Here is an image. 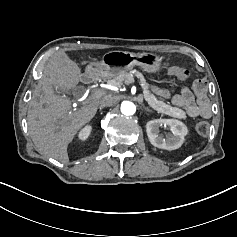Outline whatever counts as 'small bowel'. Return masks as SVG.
Instances as JSON below:
<instances>
[{"label": "small bowel", "mask_w": 237, "mask_h": 237, "mask_svg": "<svg viewBox=\"0 0 237 237\" xmlns=\"http://www.w3.org/2000/svg\"><path fill=\"white\" fill-rule=\"evenodd\" d=\"M170 74H174L173 71H170ZM153 90L161 96L170 97L172 104L182 108L189 117L209 118L211 116L207 84L203 79H196L192 90L185 87L179 93H171L158 88Z\"/></svg>", "instance_id": "1"}]
</instances>
